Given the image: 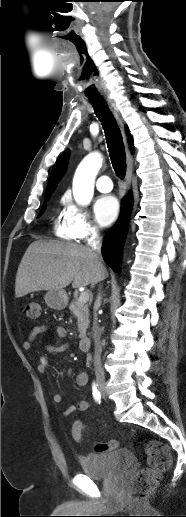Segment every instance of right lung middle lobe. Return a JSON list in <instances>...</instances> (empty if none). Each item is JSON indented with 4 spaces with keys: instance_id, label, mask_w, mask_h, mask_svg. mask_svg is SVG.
I'll return each mask as SVG.
<instances>
[{
    "instance_id": "right-lung-middle-lobe-1",
    "label": "right lung middle lobe",
    "mask_w": 186,
    "mask_h": 517,
    "mask_svg": "<svg viewBox=\"0 0 186 517\" xmlns=\"http://www.w3.org/2000/svg\"><path fill=\"white\" fill-rule=\"evenodd\" d=\"M51 193L52 192H48L45 194V203L50 199ZM45 209H46V204L43 205L38 217L45 211Z\"/></svg>"
}]
</instances>
